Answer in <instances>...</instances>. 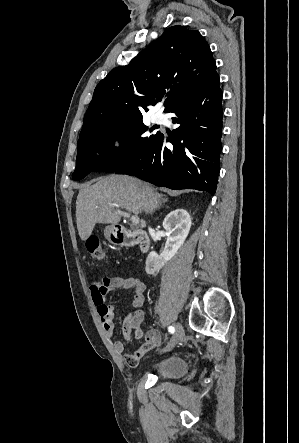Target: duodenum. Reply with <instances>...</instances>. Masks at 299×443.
Wrapping results in <instances>:
<instances>
[{"instance_id":"1","label":"duodenum","mask_w":299,"mask_h":443,"mask_svg":"<svg viewBox=\"0 0 299 443\" xmlns=\"http://www.w3.org/2000/svg\"><path fill=\"white\" fill-rule=\"evenodd\" d=\"M111 241L123 247H129L135 241L141 252H147L150 248V239L145 231L140 229L132 231L123 225H116L113 228Z\"/></svg>"}]
</instances>
